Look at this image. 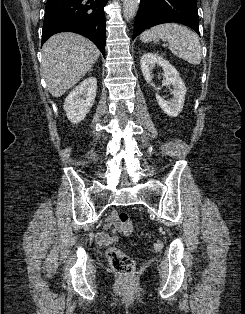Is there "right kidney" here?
<instances>
[{
  "label": "right kidney",
  "instance_id": "1",
  "mask_svg": "<svg viewBox=\"0 0 245 314\" xmlns=\"http://www.w3.org/2000/svg\"><path fill=\"white\" fill-rule=\"evenodd\" d=\"M97 90L95 77H88L67 96L64 103V111L71 123L81 122L92 108Z\"/></svg>",
  "mask_w": 245,
  "mask_h": 314
}]
</instances>
